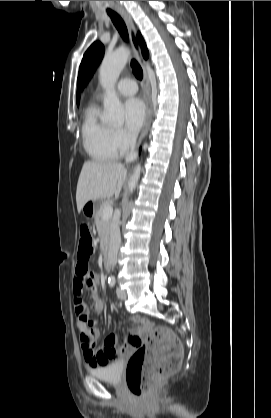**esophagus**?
Segmentation results:
<instances>
[{
	"label": "esophagus",
	"mask_w": 271,
	"mask_h": 418,
	"mask_svg": "<svg viewBox=\"0 0 271 418\" xmlns=\"http://www.w3.org/2000/svg\"><path fill=\"white\" fill-rule=\"evenodd\" d=\"M117 11L122 16V18L124 19V21L127 25L129 38H130V42H131V45H132V48H133V51H134V55H135L138 63L143 68V72H144L143 83H144V98H145V102H146V122H145L144 128H143L142 133H141L140 138H139V145H140L142 143L143 139L145 138V136L147 135L148 131H149L151 121H152V115H153V105H152V101H151V97H150L149 79H148L147 71L145 69L146 62H145V60L142 56L141 46H140L139 41L137 39V29H136L135 24L132 20V17L123 8L119 7V8H117Z\"/></svg>",
	"instance_id": "34e87169"
}]
</instances>
